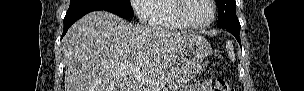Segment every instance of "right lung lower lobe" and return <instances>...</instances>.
Segmentation results:
<instances>
[{
  "label": "right lung lower lobe",
  "instance_id": "obj_1",
  "mask_svg": "<svg viewBox=\"0 0 304 91\" xmlns=\"http://www.w3.org/2000/svg\"><path fill=\"white\" fill-rule=\"evenodd\" d=\"M104 10L114 13L112 8L106 4L93 2L91 0H80L75 3H70L69 9L64 18V30L62 37L66 34L68 28L77 20L82 18L89 12Z\"/></svg>",
  "mask_w": 304,
  "mask_h": 91
}]
</instances>
